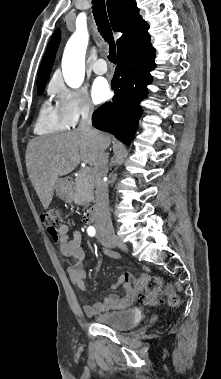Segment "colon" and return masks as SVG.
<instances>
[{
  "label": "colon",
  "mask_w": 221,
  "mask_h": 379,
  "mask_svg": "<svg viewBox=\"0 0 221 379\" xmlns=\"http://www.w3.org/2000/svg\"><path fill=\"white\" fill-rule=\"evenodd\" d=\"M41 221L50 234H55L60 225V214L57 209L50 208L41 214ZM164 281L159 276H151L145 282L146 293L141 295L139 300L144 305H156L164 301L162 290ZM164 296L169 305L177 306L179 303L178 296L174 287L167 284L164 289Z\"/></svg>",
  "instance_id": "5ec220e1"
}]
</instances>
